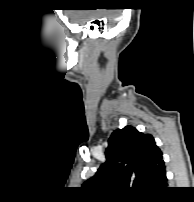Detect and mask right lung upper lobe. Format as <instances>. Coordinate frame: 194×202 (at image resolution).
I'll list each match as a JSON object with an SVG mask.
<instances>
[{
    "instance_id": "obj_1",
    "label": "right lung upper lobe",
    "mask_w": 194,
    "mask_h": 202,
    "mask_svg": "<svg viewBox=\"0 0 194 202\" xmlns=\"http://www.w3.org/2000/svg\"><path fill=\"white\" fill-rule=\"evenodd\" d=\"M106 163L84 185L95 191H118L153 196L167 185L162 152L150 134L135 127L115 130L105 152Z\"/></svg>"
}]
</instances>
